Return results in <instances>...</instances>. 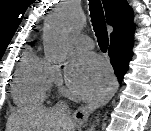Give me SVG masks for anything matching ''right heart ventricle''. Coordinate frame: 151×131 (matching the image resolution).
<instances>
[{"mask_svg":"<svg viewBox=\"0 0 151 131\" xmlns=\"http://www.w3.org/2000/svg\"><path fill=\"white\" fill-rule=\"evenodd\" d=\"M50 64L32 50L26 51L19 63L12 88L19 106L41 105L50 87Z\"/></svg>","mask_w":151,"mask_h":131,"instance_id":"right-heart-ventricle-1","label":"right heart ventricle"}]
</instances>
